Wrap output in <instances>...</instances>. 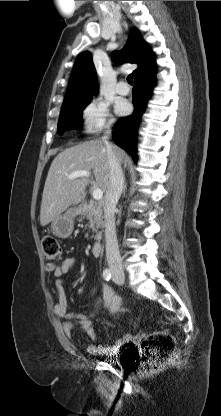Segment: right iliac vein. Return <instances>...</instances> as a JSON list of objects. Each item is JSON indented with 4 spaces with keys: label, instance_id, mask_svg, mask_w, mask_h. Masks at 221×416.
Wrapping results in <instances>:
<instances>
[{
    "label": "right iliac vein",
    "instance_id": "right-iliac-vein-1",
    "mask_svg": "<svg viewBox=\"0 0 221 416\" xmlns=\"http://www.w3.org/2000/svg\"><path fill=\"white\" fill-rule=\"evenodd\" d=\"M112 272H113V275L115 276V278L117 280H119L121 282H124L125 281V275H124V273L122 271L117 270V269H113Z\"/></svg>",
    "mask_w": 221,
    "mask_h": 416
}]
</instances>
